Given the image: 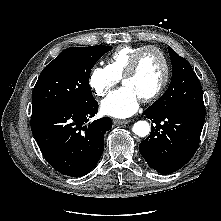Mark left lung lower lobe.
<instances>
[{"label":"left lung lower lobe","mask_w":221,"mask_h":221,"mask_svg":"<svg viewBox=\"0 0 221 221\" xmlns=\"http://www.w3.org/2000/svg\"><path fill=\"white\" fill-rule=\"evenodd\" d=\"M152 120L151 134L139 144L147 164L162 174L182 168L195 154L205 120V108H181L161 112L145 110Z\"/></svg>","instance_id":"obj_1"}]
</instances>
